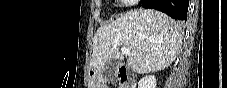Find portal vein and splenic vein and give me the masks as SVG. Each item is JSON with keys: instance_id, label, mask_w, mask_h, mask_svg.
Here are the masks:
<instances>
[{"instance_id": "18ae733b", "label": "portal vein and splenic vein", "mask_w": 227, "mask_h": 88, "mask_svg": "<svg viewBox=\"0 0 227 88\" xmlns=\"http://www.w3.org/2000/svg\"><path fill=\"white\" fill-rule=\"evenodd\" d=\"M121 52H122V54H124V55H130V50H128L127 48L122 47V48H121Z\"/></svg>"}]
</instances>
